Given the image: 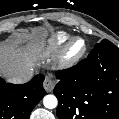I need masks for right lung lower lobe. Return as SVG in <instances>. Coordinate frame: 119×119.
<instances>
[{
    "instance_id": "1",
    "label": "right lung lower lobe",
    "mask_w": 119,
    "mask_h": 119,
    "mask_svg": "<svg viewBox=\"0 0 119 119\" xmlns=\"http://www.w3.org/2000/svg\"><path fill=\"white\" fill-rule=\"evenodd\" d=\"M43 81L42 74L20 85L0 78V119H29L33 108L46 94Z\"/></svg>"
}]
</instances>
